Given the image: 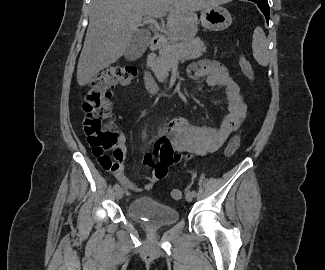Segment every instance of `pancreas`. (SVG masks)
<instances>
[{
  "label": "pancreas",
  "instance_id": "pancreas-1",
  "mask_svg": "<svg viewBox=\"0 0 325 270\" xmlns=\"http://www.w3.org/2000/svg\"><path fill=\"white\" fill-rule=\"evenodd\" d=\"M206 52V47L199 38L186 39L182 42L172 41L159 50V56L152 65V71L159 82H165L169 71L179 61L197 59Z\"/></svg>",
  "mask_w": 325,
  "mask_h": 270
}]
</instances>
